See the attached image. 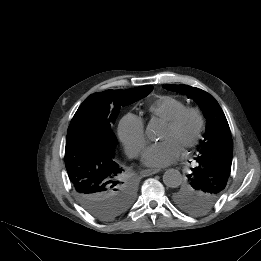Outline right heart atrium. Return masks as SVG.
<instances>
[{"mask_svg": "<svg viewBox=\"0 0 261 261\" xmlns=\"http://www.w3.org/2000/svg\"><path fill=\"white\" fill-rule=\"evenodd\" d=\"M117 132L127 154L138 157L147 142L142 118L132 113L124 115L118 124Z\"/></svg>", "mask_w": 261, "mask_h": 261, "instance_id": "d8ad5b80", "label": "right heart atrium"}]
</instances>
